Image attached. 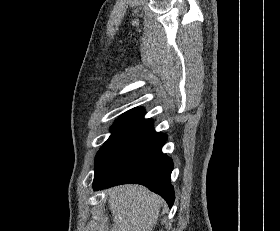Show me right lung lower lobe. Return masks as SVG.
<instances>
[{
    "label": "right lung lower lobe",
    "mask_w": 280,
    "mask_h": 231,
    "mask_svg": "<svg viewBox=\"0 0 280 231\" xmlns=\"http://www.w3.org/2000/svg\"><path fill=\"white\" fill-rule=\"evenodd\" d=\"M166 140L165 134L154 130L153 121L135 125L119 135L96 155L94 190L126 183L142 184L161 195L171 207L173 162L161 150Z\"/></svg>",
    "instance_id": "1"
}]
</instances>
